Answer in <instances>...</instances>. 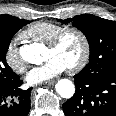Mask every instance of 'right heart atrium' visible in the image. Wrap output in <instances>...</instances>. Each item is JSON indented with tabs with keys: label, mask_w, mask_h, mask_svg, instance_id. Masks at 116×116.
I'll use <instances>...</instances> for the list:
<instances>
[{
	"label": "right heart atrium",
	"mask_w": 116,
	"mask_h": 116,
	"mask_svg": "<svg viewBox=\"0 0 116 116\" xmlns=\"http://www.w3.org/2000/svg\"><path fill=\"white\" fill-rule=\"evenodd\" d=\"M19 39L20 36L8 43L4 52V61L12 71L21 74L26 70L27 64L18 49Z\"/></svg>",
	"instance_id": "d8ad5b80"
}]
</instances>
